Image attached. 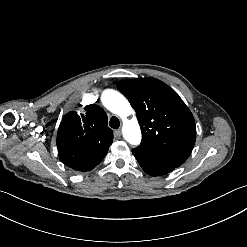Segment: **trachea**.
<instances>
[{
    "label": "trachea",
    "instance_id": "obj_1",
    "mask_svg": "<svg viewBox=\"0 0 247 247\" xmlns=\"http://www.w3.org/2000/svg\"><path fill=\"white\" fill-rule=\"evenodd\" d=\"M109 125L114 128V129H118L119 126H120V121L117 117L113 116L111 119H110V122H109Z\"/></svg>",
    "mask_w": 247,
    "mask_h": 247
}]
</instances>
